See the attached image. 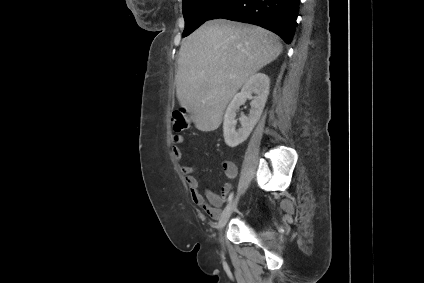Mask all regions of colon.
Here are the masks:
<instances>
[{
    "instance_id": "obj_1",
    "label": "colon",
    "mask_w": 424,
    "mask_h": 283,
    "mask_svg": "<svg viewBox=\"0 0 424 283\" xmlns=\"http://www.w3.org/2000/svg\"><path fill=\"white\" fill-rule=\"evenodd\" d=\"M171 124L175 133L183 132L188 128L189 119L185 109L180 108L172 113Z\"/></svg>"
}]
</instances>
